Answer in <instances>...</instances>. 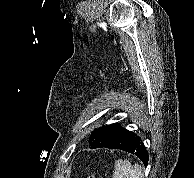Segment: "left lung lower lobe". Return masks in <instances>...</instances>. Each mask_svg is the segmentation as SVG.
Listing matches in <instances>:
<instances>
[{
  "mask_svg": "<svg viewBox=\"0 0 194 178\" xmlns=\"http://www.w3.org/2000/svg\"><path fill=\"white\" fill-rule=\"evenodd\" d=\"M89 144L91 149L105 147L127 151L139 157L145 166L148 164V153L141 139L118 123L95 129L91 133Z\"/></svg>",
  "mask_w": 194,
  "mask_h": 178,
  "instance_id": "obj_1",
  "label": "left lung lower lobe"
}]
</instances>
